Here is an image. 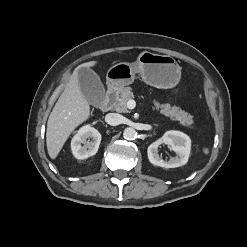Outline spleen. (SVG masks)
Masks as SVG:
<instances>
[{
	"label": "spleen",
	"instance_id": "obj_1",
	"mask_svg": "<svg viewBox=\"0 0 247 247\" xmlns=\"http://www.w3.org/2000/svg\"><path fill=\"white\" fill-rule=\"evenodd\" d=\"M202 151L206 155L209 153V149L207 147H203Z\"/></svg>",
	"mask_w": 247,
	"mask_h": 247
}]
</instances>
